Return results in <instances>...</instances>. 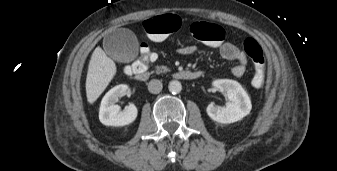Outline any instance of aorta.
Wrapping results in <instances>:
<instances>
[{"label": "aorta", "instance_id": "1", "mask_svg": "<svg viewBox=\"0 0 337 171\" xmlns=\"http://www.w3.org/2000/svg\"><path fill=\"white\" fill-rule=\"evenodd\" d=\"M169 91L173 94H178L182 90V85L179 81L177 80H172L169 82L168 85Z\"/></svg>", "mask_w": 337, "mask_h": 171}]
</instances>
